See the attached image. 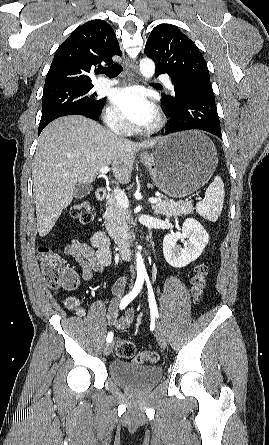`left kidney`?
Returning <instances> with one entry per match:
<instances>
[{"instance_id": "5707ae66", "label": "left kidney", "mask_w": 269, "mask_h": 445, "mask_svg": "<svg viewBox=\"0 0 269 445\" xmlns=\"http://www.w3.org/2000/svg\"><path fill=\"white\" fill-rule=\"evenodd\" d=\"M179 240L183 242V247L175 246ZM208 241L209 235L203 226L197 220L188 218L183 223L182 233L167 234L164 237L163 254L171 266L185 267L201 255Z\"/></svg>"}]
</instances>
